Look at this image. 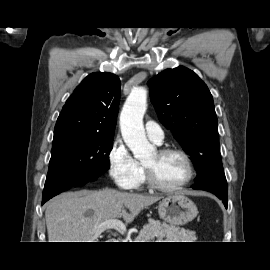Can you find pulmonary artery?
<instances>
[{"label":"pulmonary artery","instance_id":"1","mask_svg":"<svg viewBox=\"0 0 270 270\" xmlns=\"http://www.w3.org/2000/svg\"><path fill=\"white\" fill-rule=\"evenodd\" d=\"M145 130L148 138L157 144H161L164 139L162 128L154 121H147Z\"/></svg>","mask_w":270,"mask_h":270}]
</instances>
